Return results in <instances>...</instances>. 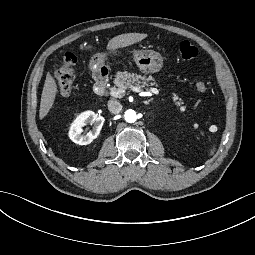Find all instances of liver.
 Returning <instances> with one entry per match:
<instances>
[{"mask_svg":"<svg viewBox=\"0 0 255 255\" xmlns=\"http://www.w3.org/2000/svg\"><path fill=\"white\" fill-rule=\"evenodd\" d=\"M147 37V34L144 33H127L121 34L114 38H112L107 45L108 50H116L118 48L127 47L134 43H137ZM86 48L90 49L91 46H87ZM83 49V47H81ZM57 93V85L54 78L47 73L46 80L44 83L41 102H40V110H39V118L43 119L51 109L55 96Z\"/></svg>","mask_w":255,"mask_h":255,"instance_id":"obj_1","label":"liver"}]
</instances>
